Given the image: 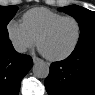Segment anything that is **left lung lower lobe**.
Listing matches in <instances>:
<instances>
[{"label": "left lung lower lobe", "mask_w": 95, "mask_h": 95, "mask_svg": "<svg viewBox=\"0 0 95 95\" xmlns=\"http://www.w3.org/2000/svg\"><path fill=\"white\" fill-rule=\"evenodd\" d=\"M45 87L49 95H95V39L76 46L67 59L52 63Z\"/></svg>", "instance_id": "left-lung-lower-lobe-1"}]
</instances>
